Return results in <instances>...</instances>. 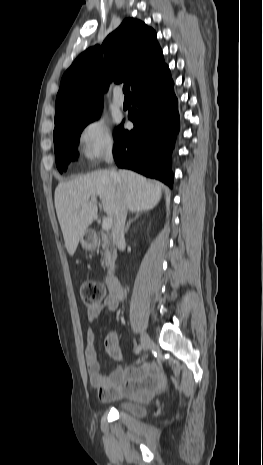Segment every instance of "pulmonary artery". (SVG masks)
<instances>
[{"instance_id": "pulmonary-artery-1", "label": "pulmonary artery", "mask_w": 263, "mask_h": 465, "mask_svg": "<svg viewBox=\"0 0 263 465\" xmlns=\"http://www.w3.org/2000/svg\"><path fill=\"white\" fill-rule=\"evenodd\" d=\"M113 103H114L117 107L123 106V104H124V98H123V96L121 95V90H120V89H117V90L115 91V94H114V97H113Z\"/></svg>"}]
</instances>
